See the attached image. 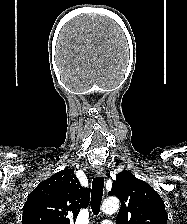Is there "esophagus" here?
<instances>
[{"instance_id":"esophagus-1","label":"esophagus","mask_w":187,"mask_h":224,"mask_svg":"<svg viewBox=\"0 0 187 224\" xmlns=\"http://www.w3.org/2000/svg\"><path fill=\"white\" fill-rule=\"evenodd\" d=\"M96 175H97L98 177L105 176V169L102 168V167L98 168V169L96 170Z\"/></svg>"}]
</instances>
